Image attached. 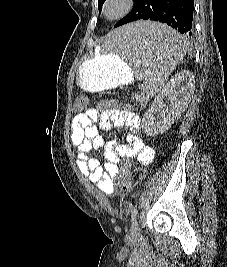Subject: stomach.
Masks as SVG:
<instances>
[{
  "instance_id": "1",
  "label": "stomach",
  "mask_w": 227,
  "mask_h": 267,
  "mask_svg": "<svg viewBox=\"0 0 227 267\" xmlns=\"http://www.w3.org/2000/svg\"><path fill=\"white\" fill-rule=\"evenodd\" d=\"M97 51L95 57L85 60L79 67L77 81L85 91H101L125 84L127 76L136 75L137 59H124L123 55H104Z\"/></svg>"
}]
</instances>
